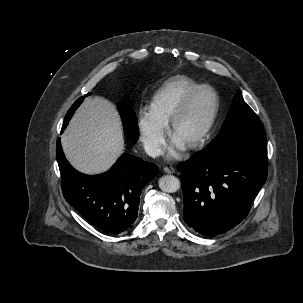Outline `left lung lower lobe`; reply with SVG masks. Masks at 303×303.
I'll return each instance as SVG.
<instances>
[{"label": "left lung lower lobe", "mask_w": 303, "mask_h": 303, "mask_svg": "<svg viewBox=\"0 0 303 303\" xmlns=\"http://www.w3.org/2000/svg\"><path fill=\"white\" fill-rule=\"evenodd\" d=\"M267 171V162L229 153H198L180 168L184 221L205 236L233 228L248 215Z\"/></svg>", "instance_id": "1"}]
</instances>
